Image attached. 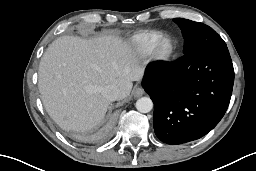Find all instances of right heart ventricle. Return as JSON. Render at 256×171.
I'll return each instance as SVG.
<instances>
[{
  "label": "right heart ventricle",
  "instance_id": "obj_1",
  "mask_svg": "<svg viewBox=\"0 0 256 171\" xmlns=\"http://www.w3.org/2000/svg\"><path fill=\"white\" fill-rule=\"evenodd\" d=\"M162 36L163 33L159 30H144L135 34L131 39V43L137 53L147 56L151 54L153 46Z\"/></svg>",
  "mask_w": 256,
  "mask_h": 171
}]
</instances>
